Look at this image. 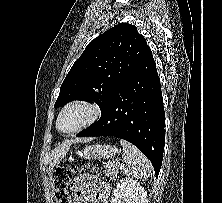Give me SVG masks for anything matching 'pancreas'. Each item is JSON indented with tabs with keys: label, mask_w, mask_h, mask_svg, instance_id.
I'll return each mask as SVG.
<instances>
[{
	"label": "pancreas",
	"mask_w": 222,
	"mask_h": 203,
	"mask_svg": "<svg viewBox=\"0 0 222 203\" xmlns=\"http://www.w3.org/2000/svg\"><path fill=\"white\" fill-rule=\"evenodd\" d=\"M118 167L119 166L116 164V161L108 162L105 164V174L111 179H115L118 174Z\"/></svg>",
	"instance_id": "pancreas-1"
}]
</instances>
